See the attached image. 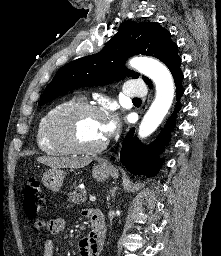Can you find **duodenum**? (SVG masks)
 Listing matches in <instances>:
<instances>
[{"label":"duodenum","instance_id":"duodenum-1","mask_svg":"<svg viewBox=\"0 0 221 256\" xmlns=\"http://www.w3.org/2000/svg\"><path fill=\"white\" fill-rule=\"evenodd\" d=\"M105 235V220L103 214L94 210L91 217V237L96 242H103Z\"/></svg>","mask_w":221,"mask_h":256}]
</instances>
